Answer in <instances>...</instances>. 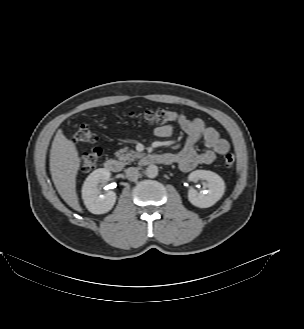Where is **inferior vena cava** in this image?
Segmentation results:
<instances>
[{
    "label": "inferior vena cava",
    "instance_id": "1",
    "mask_svg": "<svg viewBox=\"0 0 304 329\" xmlns=\"http://www.w3.org/2000/svg\"><path fill=\"white\" fill-rule=\"evenodd\" d=\"M126 177L130 181H136L139 177V171L135 167H129L125 170Z\"/></svg>",
    "mask_w": 304,
    "mask_h": 329
}]
</instances>
